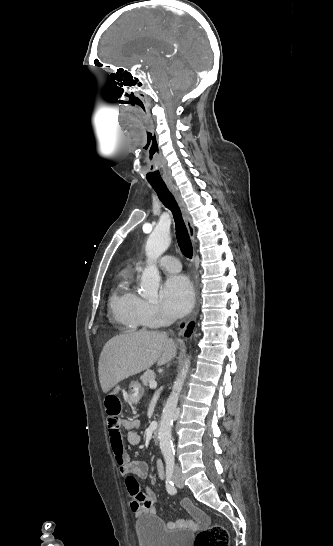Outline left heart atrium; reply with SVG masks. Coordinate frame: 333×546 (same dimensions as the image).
<instances>
[{
	"label": "left heart atrium",
	"mask_w": 333,
	"mask_h": 546,
	"mask_svg": "<svg viewBox=\"0 0 333 546\" xmlns=\"http://www.w3.org/2000/svg\"><path fill=\"white\" fill-rule=\"evenodd\" d=\"M162 306L171 317H181L191 308L193 288L190 281L181 275L167 278L162 287Z\"/></svg>",
	"instance_id": "39dd6f15"
}]
</instances>
